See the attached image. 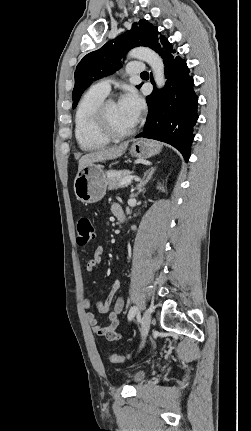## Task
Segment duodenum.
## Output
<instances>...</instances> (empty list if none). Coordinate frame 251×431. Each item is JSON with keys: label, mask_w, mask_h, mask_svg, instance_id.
Segmentation results:
<instances>
[{"label": "duodenum", "mask_w": 251, "mask_h": 431, "mask_svg": "<svg viewBox=\"0 0 251 431\" xmlns=\"http://www.w3.org/2000/svg\"><path fill=\"white\" fill-rule=\"evenodd\" d=\"M116 217H117V219H118V221H119L120 223H123V222L125 221V214H124V211H120V212H118V213L116 214Z\"/></svg>", "instance_id": "410a0bca"}]
</instances>
